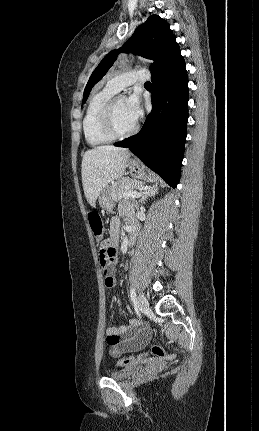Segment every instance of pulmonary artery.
<instances>
[{
	"instance_id": "e3ab8cb5",
	"label": "pulmonary artery",
	"mask_w": 259,
	"mask_h": 431,
	"mask_svg": "<svg viewBox=\"0 0 259 431\" xmlns=\"http://www.w3.org/2000/svg\"><path fill=\"white\" fill-rule=\"evenodd\" d=\"M149 79V73L145 69L131 70L124 73L116 74L107 81V87L115 92L120 91L126 86L135 82H146Z\"/></svg>"
}]
</instances>
